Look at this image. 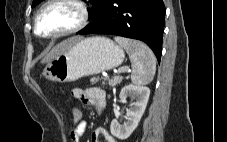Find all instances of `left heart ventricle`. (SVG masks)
<instances>
[{
	"instance_id": "obj_1",
	"label": "left heart ventricle",
	"mask_w": 227,
	"mask_h": 142,
	"mask_svg": "<svg viewBox=\"0 0 227 142\" xmlns=\"http://www.w3.org/2000/svg\"><path fill=\"white\" fill-rule=\"evenodd\" d=\"M79 21V11L72 4H55L47 7L39 17L38 31L55 34L72 28Z\"/></svg>"
}]
</instances>
